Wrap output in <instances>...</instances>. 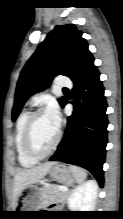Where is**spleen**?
Returning a JSON list of instances; mask_svg holds the SVG:
<instances>
[{"instance_id":"3e777b00","label":"spleen","mask_w":123,"mask_h":219,"mask_svg":"<svg viewBox=\"0 0 123 219\" xmlns=\"http://www.w3.org/2000/svg\"><path fill=\"white\" fill-rule=\"evenodd\" d=\"M70 170L75 176L78 183H82L87 177V173L82 168H79L77 166H70Z\"/></svg>"}]
</instances>
